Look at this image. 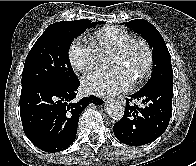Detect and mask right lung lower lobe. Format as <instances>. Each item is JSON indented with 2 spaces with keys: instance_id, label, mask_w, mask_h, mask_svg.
<instances>
[{
  "instance_id": "98d812e1",
  "label": "right lung lower lobe",
  "mask_w": 196,
  "mask_h": 166,
  "mask_svg": "<svg viewBox=\"0 0 196 166\" xmlns=\"http://www.w3.org/2000/svg\"><path fill=\"white\" fill-rule=\"evenodd\" d=\"M79 80L69 84L33 80L22 83L20 115L31 142L46 152L67 149L75 140L79 116L89 103L103 100L90 95L76 102Z\"/></svg>"
}]
</instances>
